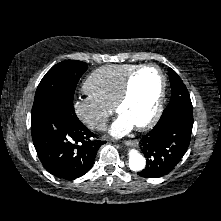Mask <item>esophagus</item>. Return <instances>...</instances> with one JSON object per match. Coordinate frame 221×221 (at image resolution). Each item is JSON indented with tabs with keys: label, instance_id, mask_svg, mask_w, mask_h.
<instances>
[{
	"label": "esophagus",
	"instance_id": "34e87169",
	"mask_svg": "<svg viewBox=\"0 0 221 221\" xmlns=\"http://www.w3.org/2000/svg\"><path fill=\"white\" fill-rule=\"evenodd\" d=\"M125 145L137 147L139 145V141L135 139L127 140L125 141Z\"/></svg>",
	"mask_w": 221,
	"mask_h": 221
}]
</instances>
